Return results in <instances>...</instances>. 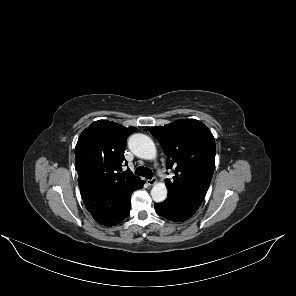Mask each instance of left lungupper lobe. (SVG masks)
<instances>
[{
  "label": "left lung upper lobe",
  "instance_id": "1",
  "mask_svg": "<svg viewBox=\"0 0 296 296\" xmlns=\"http://www.w3.org/2000/svg\"><path fill=\"white\" fill-rule=\"evenodd\" d=\"M149 131L167 156V169H174L173 181L165 180L168 197L202 202L215 167V140L211 131L195 119H180Z\"/></svg>",
  "mask_w": 296,
  "mask_h": 296
}]
</instances>
